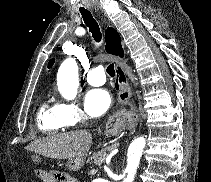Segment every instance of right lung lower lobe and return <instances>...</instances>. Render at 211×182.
Here are the masks:
<instances>
[{"mask_svg":"<svg viewBox=\"0 0 211 182\" xmlns=\"http://www.w3.org/2000/svg\"><path fill=\"white\" fill-rule=\"evenodd\" d=\"M123 55V54H122ZM121 55V56H122ZM118 71H119V74H120V82H122V81H125V77H124V74H123V72L121 71V69L120 68H118ZM117 76H118V74H117ZM116 88L118 89V81H116Z\"/></svg>","mask_w":211,"mask_h":182,"instance_id":"98d812e1","label":"right lung lower lobe"}]
</instances>
